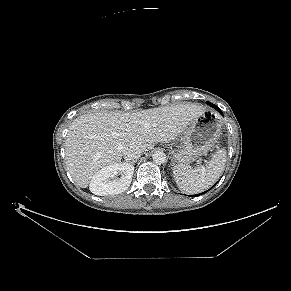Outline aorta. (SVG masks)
<instances>
[{
    "label": "aorta",
    "instance_id": "1",
    "mask_svg": "<svg viewBox=\"0 0 291 291\" xmlns=\"http://www.w3.org/2000/svg\"><path fill=\"white\" fill-rule=\"evenodd\" d=\"M152 158H153V161L158 165L166 162V155L162 151L154 152V154L152 155Z\"/></svg>",
    "mask_w": 291,
    "mask_h": 291
}]
</instances>
